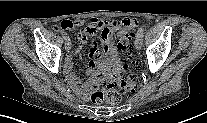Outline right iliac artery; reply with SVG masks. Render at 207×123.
<instances>
[{
    "mask_svg": "<svg viewBox=\"0 0 207 123\" xmlns=\"http://www.w3.org/2000/svg\"><path fill=\"white\" fill-rule=\"evenodd\" d=\"M61 33H62L64 39L69 38L66 33H64V32H61Z\"/></svg>",
    "mask_w": 207,
    "mask_h": 123,
    "instance_id": "82829eb1",
    "label": "right iliac artery"
}]
</instances>
